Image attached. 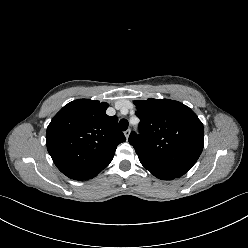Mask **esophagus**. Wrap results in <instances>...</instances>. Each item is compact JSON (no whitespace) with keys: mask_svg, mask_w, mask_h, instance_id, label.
Returning <instances> with one entry per match:
<instances>
[{"mask_svg":"<svg viewBox=\"0 0 248 248\" xmlns=\"http://www.w3.org/2000/svg\"><path fill=\"white\" fill-rule=\"evenodd\" d=\"M124 135H125L126 139H128V137H129V135H130V129L126 130V131L124 132Z\"/></svg>","mask_w":248,"mask_h":248,"instance_id":"obj_1","label":"esophagus"}]
</instances>
